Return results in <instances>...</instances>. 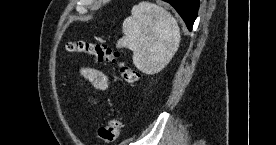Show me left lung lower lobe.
Wrapping results in <instances>:
<instances>
[{
    "label": "left lung lower lobe",
    "mask_w": 276,
    "mask_h": 145,
    "mask_svg": "<svg viewBox=\"0 0 276 145\" xmlns=\"http://www.w3.org/2000/svg\"><path fill=\"white\" fill-rule=\"evenodd\" d=\"M180 14L187 28L191 31L199 9V0H164Z\"/></svg>",
    "instance_id": "0a47b994"
}]
</instances>
